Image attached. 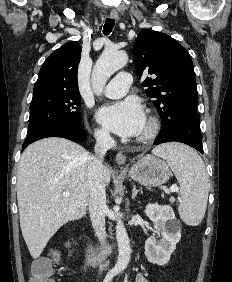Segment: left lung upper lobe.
<instances>
[{"mask_svg":"<svg viewBox=\"0 0 232 282\" xmlns=\"http://www.w3.org/2000/svg\"><path fill=\"white\" fill-rule=\"evenodd\" d=\"M133 54L139 77L148 72L143 86L153 98L162 120L180 106L196 111L198 94L193 63L188 51L170 36L152 30L139 33Z\"/></svg>","mask_w":232,"mask_h":282,"instance_id":"left-lung-upper-lobe-1","label":"left lung upper lobe"}]
</instances>
